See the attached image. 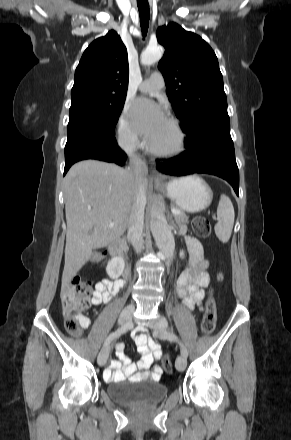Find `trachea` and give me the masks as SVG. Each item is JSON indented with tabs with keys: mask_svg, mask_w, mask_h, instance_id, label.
Returning a JSON list of instances; mask_svg holds the SVG:
<instances>
[{
	"mask_svg": "<svg viewBox=\"0 0 291 440\" xmlns=\"http://www.w3.org/2000/svg\"><path fill=\"white\" fill-rule=\"evenodd\" d=\"M139 15H140V25L143 37L146 36L149 25L150 9L147 0H137Z\"/></svg>",
	"mask_w": 291,
	"mask_h": 440,
	"instance_id": "trachea-1",
	"label": "trachea"
}]
</instances>
